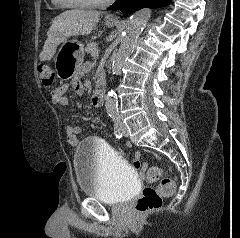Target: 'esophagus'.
I'll return each mask as SVG.
<instances>
[{
	"label": "esophagus",
	"mask_w": 240,
	"mask_h": 238,
	"mask_svg": "<svg viewBox=\"0 0 240 238\" xmlns=\"http://www.w3.org/2000/svg\"><path fill=\"white\" fill-rule=\"evenodd\" d=\"M121 16H122V12L121 11H116L112 14L107 15L106 18L109 19V20H119L121 18Z\"/></svg>",
	"instance_id": "obj_1"
}]
</instances>
